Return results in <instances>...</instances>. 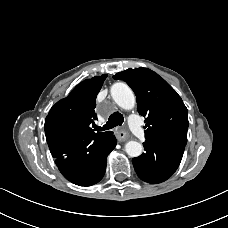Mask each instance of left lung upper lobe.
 <instances>
[{
    "instance_id": "1",
    "label": "left lung upper lobe",
    "mask_w": 228,
    "mask_h": 228,
    "mask_svg": "<svg viewBox=\"0 0 228 228\" xmlns=\"http://www.w3.org/2000/svg\"><path fill=\"white\" fill-rule=\"evenodd\" d=\"M135 92L137 110L146 117V139H166L182 146L187 143L188 110L177 92L148 68L127 69L113 76Z\"/></svg>"
}]
</instances>
